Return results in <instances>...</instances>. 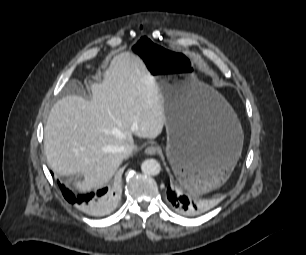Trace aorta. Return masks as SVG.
<instances>
[{
    "label": "aorta",
    "mask_w": 306,
    "mask_h": 255,
    "mask_svg": "<svg viewBox=\"0 0 306 255\" xmlns=\"http://www.w3.org/2000/svg\"><path fill=\"white\" fill-rule=\"evenodd\" d=\"M141 170L146 175H158L161 171V165L156 159H146L141 164Z\"/></svg>",
    "instance_id": "aorta-1"
}]
</instances>
